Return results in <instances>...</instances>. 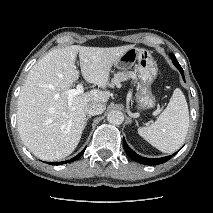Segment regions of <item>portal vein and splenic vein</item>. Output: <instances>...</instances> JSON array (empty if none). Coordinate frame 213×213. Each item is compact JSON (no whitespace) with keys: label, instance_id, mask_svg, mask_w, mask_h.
I'll use <instances>...</instances> for the list:
<instances>
[{"label":"portal vein and splenic vein","instance_id":"1","mask_svg":"<svg viewBox=\"0 0 213 213\" xmlns=\"http://www.w3.org/2000/svg\"><path fill=\"white\" fill-rule=\"evenodd\" d=\"M83 91H84L83 85L81 83H78V85L76 86V89L69 90L67 94L69 98H72L75 95L83 93Z\"/></svg>","mask_w":213,"mask_h":213}]
</instances>
